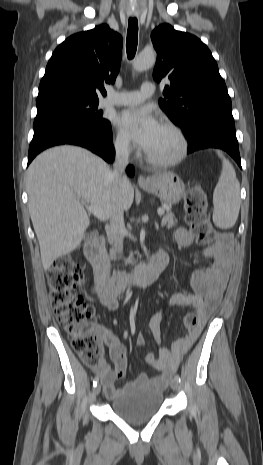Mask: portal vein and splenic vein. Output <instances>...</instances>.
Segmentation results:
<instances>
[{"instance_id": "portal-vein-and-splenic-vein-1", "label": "portal vein and splenic vein", "mask_w": 263, "mask_h": 465, "mask_svg": "<svg viewBox=\"0 0 263 465\" xmlns=\"http://www.w3.org/2000/svg\"><path fill=\"white\" fill-rule=\"evenodd\" d=\"M88 210L95 216L97 217L98 219L100 220H106V216H105V213L104 211L98 207V206H95V205H89L88 206ZM158 214L160 216H162L164 214V210L162 208L158 209Z\"/></svg>"}]
</instances>
